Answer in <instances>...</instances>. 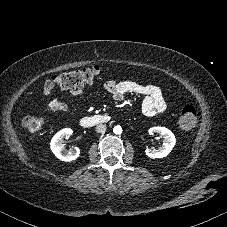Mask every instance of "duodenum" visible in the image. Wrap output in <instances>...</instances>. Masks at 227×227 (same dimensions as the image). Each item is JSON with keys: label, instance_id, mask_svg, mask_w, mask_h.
I'll use <instances>...</instances> for the list:
<instances>
[{"label": "duodenum", "instance_id": "duodenum-1", "mask_svg": "<svg viewBox=\"0 0 227 227\" xmlns=\"http://www.w3.org/2000/svg\"><path fill=\"white\" fill-rule=\"evenodd\" d=\"M110 120L108 115H93L89 117H84L80 120V125L84 128H91Z\"/></svg>", "mask_w": 227, "mask_h": 227}]
</instances>
